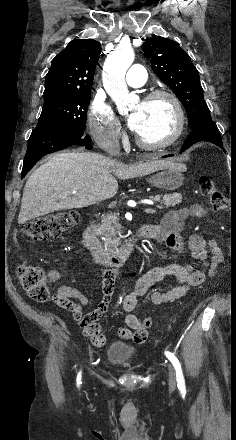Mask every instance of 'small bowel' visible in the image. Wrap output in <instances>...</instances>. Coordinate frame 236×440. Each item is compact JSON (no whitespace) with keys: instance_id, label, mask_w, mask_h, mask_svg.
<instances>
[{"instance_id":"c3829d8e","label":"small bowel","mask_w":236,"mask_h":440,"mask_svg":"<svg viewBox=\"0 0 236 440\" xmlns=\"http://www.w3.org/2000/svg\"><path fill=\"white\" fill-rule=\"evenodd\" d=\"M204 214V208L193 204L190 207L170 211L159 225L154 226L151 238L179 254H188L192 262L157 266L139 277L134 291L123 301L127 326L119 330V336L123 340L146 339L147 328L132 311L137 306L138 299L148 293L154 284L169 276L176 278L179 283L166 291L150 292V301L161 305L181 299L191 287L200 285L207 277H212L217 273L223 261V253L216 240L212 239L207 243L198 234L191 235L187 242L181 238L185 220L189 216L202 217ZM116 276V271L103 272L102 299L97 308L85 316L82 309L88 305L89 299L83 291L70 286H62L54 295L55 303L69 311L73 318L80 322V330H83L84 336L95 346H102L105 343L98 320L111 303ZM59 277L58 271L49 272L48 278L51 283H55Z\"/></svg>"}]
</instances>
